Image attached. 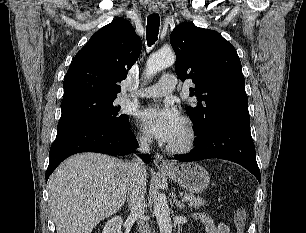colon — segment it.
Here are the masks:
<instances>
[{
  "mask_svg": "<svg viewBox=\"0 0 306 233\" xmlns=\"http://www.w3.org/2000/svg\"><path fill=\"white\" fill-rule=\"evenodd\" d=\"M246 223V212L243 209H237L234 214L235 233H243Z\"/></svg>",
  "mask_w": 306,
  "mask_h": 233,
  "instance_id": "colon-1",
  "label": "colon"
}]
</instances>
